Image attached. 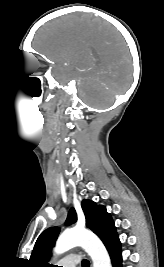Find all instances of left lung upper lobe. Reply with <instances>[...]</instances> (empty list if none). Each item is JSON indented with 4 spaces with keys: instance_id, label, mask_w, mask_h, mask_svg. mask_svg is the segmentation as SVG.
Wrapping results in <instances>:
<instances>
[{
    "instance_id": "5c2ea615",
    "label": "left lung upper lobe",
    "mask_w": 164,
    "mask_h": 267,
    "mask_svg": "<svg viewBox=\"0 0 164 267\" xmlns=\"http://www.w3.org/2000/svg\"><path fill=\"white\" fill-rule=\"evenodd\" d=\"M81 206L86 218V226L104 242L116 230L110 214L107 213L103 205H96V203L90 200H83ZM76 221V211L74 208H71L66 224L70 225ZM59 232V227H51L40 234L29 260L32 267H52L47 262Z\"/></svg>"
}]
</instances>
